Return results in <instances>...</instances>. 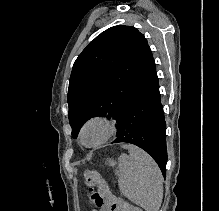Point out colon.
Instances as JSON below:
<instances>
[{"label": "colon", "instance_id": "1", "mask_svg": "<svg viewBox=\"0 0 219 211\" xmlns=\"http://www.w3.org/2000/svg\"><path fill=\"white\" fill-rule=\"evenodd\" d=\"M84 179L89 193L93 194L97 187L100 200L107 202L112 211H142L140 208L131 205L129 202L112 194L108 183L102 178L96 169L86 170ZM95 211V210H93Z\"/></svg>", "mask_w": 219, "mask_h": 211}]
</instances>
